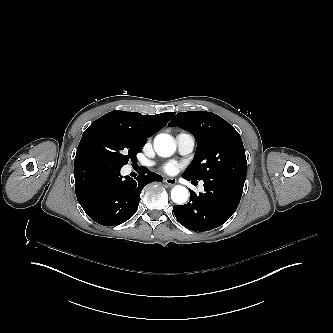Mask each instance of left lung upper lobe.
Here are the masks:
<instances>
[{
  "mask_svg": "<svg viewBox=\"0 0 333 333\" xmlns=\"http://www.w3.org/2000/svg\"><path fill=\"white\" fill-rule=\"evenodd\" d=\"M169 126H179L193 134L197 149L183 175L211 183L219 177L246 179V156L235 128L211 112L178 113Z\"/></svg>",
  "mask_w": 333,
  "mask_h": 333,
  "instance_id": "5c2ea615",
  "label": "left lung upper lobe"
}]
</instances>
